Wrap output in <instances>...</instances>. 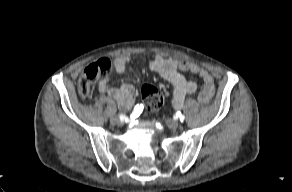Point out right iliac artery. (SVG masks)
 <instances>
[{
    "mask_svg": "<svg viewBox=\"0 0 292 192\" xmlns=\"http://www.w3.org/2000/svg\"><path fill=\"white\" fill-rule=\"evenodd\" d=\"M143 109V105H136L135 108H134V112H131V123H134L137 121L138 119V116L137 114H140V112L142 111Z\"/></svg>",
    "mask_w": 292,
    "mask_h": 192,
    "instance_id": "right-iliac-artery-1",
    "label": "right iliac artery"
}]
</instances>
